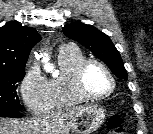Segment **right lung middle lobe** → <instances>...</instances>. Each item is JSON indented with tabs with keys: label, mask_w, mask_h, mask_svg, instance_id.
Wrapping results in <instances>:
<instances>
[{
	"label": "right lung middle lobe",
	"mask_w": 153,
	"mask_h": 134,
	"mask_svg": "<svg viewBox=\"0 0 153 134\" xmlns=\"http://www.w3.org/2000/svg\"><path fill=\"white\" fill-rule=\"evenodd\" d=\"M24 76L25 69L0 70V110L20 111L23 109L16 89Z\"/></svg>",
	"instance_id": "right-lung-middle-lobe-1"
}]
</instances>
